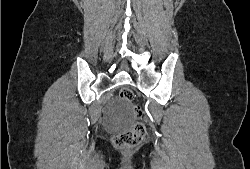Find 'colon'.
Here are the masks:
<instances>
[{
    "label": "colon",
    "instance_id": "obj_1",
    "mask_svg": "<svg viewBox=\"0 0 250 169\" xmlns=\"http://www.w3.org/2000/svg\"><path fill=\"white\" fill-rule=\"evenodd\" d=\"M118 96L125 101H135L132 88H119ZM133 111L136 115V120H141V115H144V110H140L142 102H134ZM148 130L146 122H135V126H130L129 130H123V133L117 134L115 138H111L112 146H116V150H135L139 143H143L146 139Z\"/></svg>",
    "mask_w": 250,
    "mask_h": 169
}]
</instances>
